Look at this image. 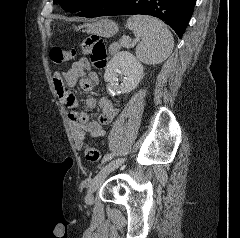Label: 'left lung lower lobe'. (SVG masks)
Segmentation results:
<instances>
[{"mask_svg": "<svg viewBox=\"0 0 240 238\" xmlns=\"http://www.w3.org/2000/svg\"><path fill=\"white\" fill-rule=\"evenodd\" d=\"M196 0H92L77 16L151 15L163 20L182 37Z\"/></svg>", "mask_w": 240, "mask_h": 238, "instance_id": "left-lung-lower-lobe-1", "label": "left lung lower lobe"}]
</instances>
